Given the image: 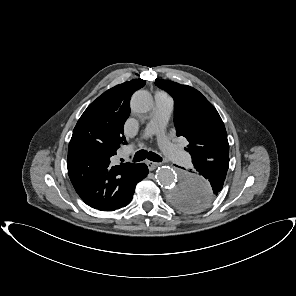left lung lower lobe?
Segmentation results:
<instances>
[{
	"label": "left lung lower lobe",
	"mask_w": 296,
	"mask_h": 296,
	"mask_svg": "<svg viewBox=\"0 0 296 296\" xmlns=\"http://www.w3.org/2000/svg\"><path fill=\"white\" fill-rule=\"evenodd\" d=\"M192 163L194 165V169L190 170V172L202 175L204 178L209 180L211 187L208 190L196 191L192 194L181 192L179 196L183 200L195 198L196 203L192 206V209L200 210L205 205H209L222 190L229 167V159L193 161Z\"/></svg>",
	"instance_id": "0a47b994"
}]
</instances>
